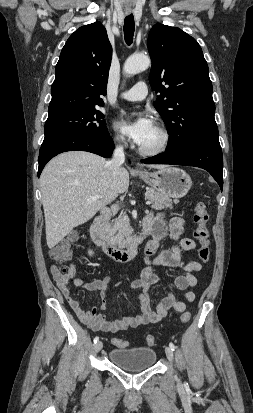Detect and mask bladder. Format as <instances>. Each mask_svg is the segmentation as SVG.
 Masks as SVG:
<instances>
[{"label": "bladder", "mask_w": 253, "mask_h": 413, "mask_svg": "<svg viewBox=\"0 0 253 413\" xmlns=\"http://www.w3.org/2000/svg\"><path fill=\"white\" fill-rule=\"evenodd\" d=\"M157 355L150 347H117L110 351L109 359L117 367L126 371H141L152 367Z\"/></svg>", "instance_id": "obj_1"}]
</instances>
